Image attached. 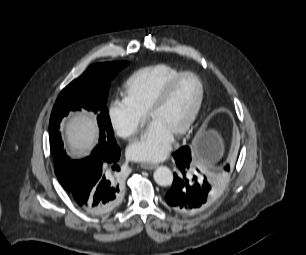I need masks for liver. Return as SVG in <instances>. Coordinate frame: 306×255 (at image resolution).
<instances>
[{
  "mask_svg": "<svg viewBox=\"0 0 306 255\" xmlns=\"http://www.w3.org/2000/svg\"><path fill=\"white\" fill-rule=\"evenodd\" d=\"M70 147L79 154H86L97 143V123L94 117L78 113L71 117L65 129Z\"/></svg>",
  "mask_w": 306,
  "mask_h": 255,
  "instance_id": "1",
  "label": "liver"
}]
</instances>
